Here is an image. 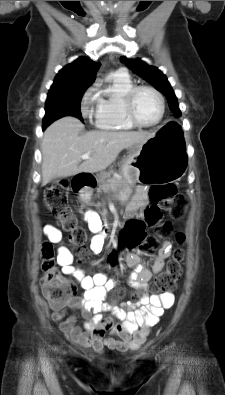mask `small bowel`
<instances>
[{
  "label": "small bowel",
  "mask_w": 225,
  "mask_h": 395,
  "mask_svg": "<svg viewBox=\"0 0 225 395\" xmlns=\"http://www.w3.org/2000/svg\"><path fill=\"white\" fill-rule=\"evenodd\" d=\"M147 188L139 186L127 206V214L133 217L147 205ZM84 220L91 232L95 235L91 239L90 249L94 254H99L104 248L105 235L100 216L94 211H87ZM45 236L54 244H60L58 248V265L61 266L65 275L72 276L79 284L75 286L76 292L83 294L70 301V307L79 309L84 317L83 326L75 324V319H64L63 310L53 308L52 319L60 323V329L69 338L83 346L92 347L100 352L104 348L126 350L138 349L146 340L150 327L157 324L164 310L174 304V295L171 292L148 295V283L162 271L166 259L170 256L172 244L165 240L161 244L157 255L150 266L142 264L141 258L136 254H127L126 263L131 268L128 281L138 291L142 292L140 306L131 304H117L114 300L106 301L107 293L111 291L116 280L108 278L104 273L86 275L82 269L73 265L71 252L65 247V237L54 225L44 227ZM109 310L118 319L114 321L105 317L102 312ZM111 336L106 337V333Z\"/></svg>",
  "instance_id": "small-bowel-1"
}]
</instances>
